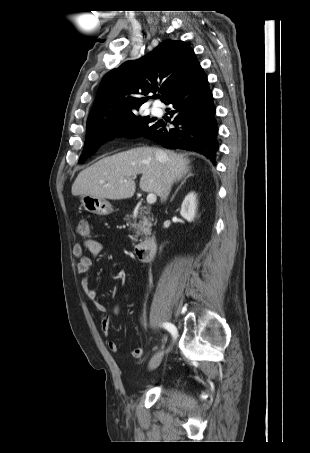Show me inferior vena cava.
<instances>
[{"instance_id":"602c4592","label":"inferior vena cava","mask_w":310,"mask_h":453,"mask_svg":"<svg viewBox=\"0 0 310 453\" xmlns=\"http://www.w3.org/2000/svg\"><path fill=\"white\" fill-rule=\"evenodd\" d=\"M155 155H156V158L159 161L163 160V152L161 150H157ZM171 185H172V179L168 175L167 179H166V182H165V185H164V188H163L162 195H161V201H165L167 199V197H168V195L170 193V190H171Z\"/></svg>"}]
</instances>
